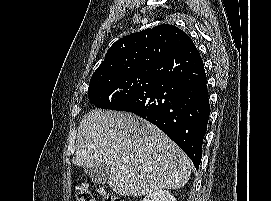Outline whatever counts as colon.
<instances>
[{
    "label": "colon",
    "mask_w": 271,
    "mask_h": 201,
    "mask_svg": "<svg viewBox=\"0 0 271 201\" xmlns=\"http://www.w3.org/2000/svg\"><path fill=\"white\" fill-rule=\"evenodd\" d=\"M100 195L102 201H122L119 197L103 189L100 190ZM76 199L77 201H95L93 193L86 184H81L77 187Z\"/></svg>",
    "instance_id": "1"
}]
</instances>
